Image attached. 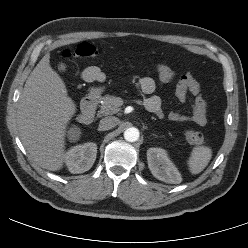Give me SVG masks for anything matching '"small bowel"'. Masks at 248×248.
<instances>
[{
	"mask_svg": "<svg viewBox=\"0 0 248 248\" xmlns=\"http://www.w3.org/2000/svg\"><path fill=\"white\" fill-rule=\"evenodd\" d=\"M82 79L86 82H103L105 80V74L100 68L96 66L87 67L82 72ZM140 91L145 94L144 106L145 108L158 116L164 118L165 112L162 108L161 99L154 94L156 89V83L151 77H143L139 83ZM188 93L193 96L192 100V113L190 115H184L177 111H171L167 114V118L173 122H192L199 126H203L207 122L208 105L201 95V87L199 82L194 76L186 72L179 76L175 82V94L180 102H186Z\"/></svg>",
	"mask_w": 248,
	"mask_h": 248,
	"instance_id": "small-bowel-1",
	"label": "small bowel"
}]
</instances>
